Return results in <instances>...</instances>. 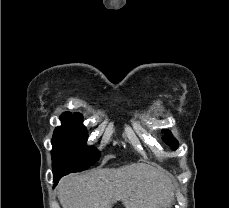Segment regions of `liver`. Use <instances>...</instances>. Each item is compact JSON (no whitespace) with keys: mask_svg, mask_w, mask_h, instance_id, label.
<instances>
[{"mask_svg":"<svg viewBox=\"0 0 229 208\" xmlns=\"http://www.w3.org/2000/svg\"><path fill=\"white\" fill-rule=\"evenodd\" d=\"M173 182L164 170L148 164L99 168L86 174H70L59 182L62 208H168L174 200Z\"/></svg>","mask_w":229,"mask_h":208,"instance_id":"liver-1","label":"liver"}]
</instances>
